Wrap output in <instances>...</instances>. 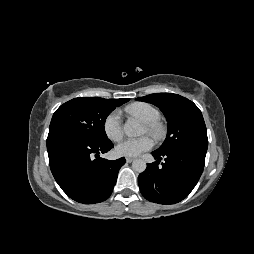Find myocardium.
Wrapping results in <instances>:
<instances>
[{
	"label": "myocardium",
	"mask_w": 254,
	"mask_h": 254,
	"mask_svg": "<svg viewBox=\"0 0 254 254\" xmlns=\"http://www.w3.org/2000/svg\"><path fill=\"white\" fill-rule=\"evenodd\" d=\"M147 132L153 136L155 139L159 140L163 138L165 134V127L159 121L154 122H144Z\"/></svg>",
	"instance_id": "1"
}]
</instances>
